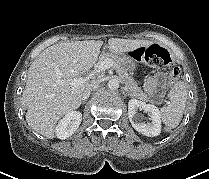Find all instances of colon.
Listing matches in <instances>:
<instances>
[{
  "mask_svg": "<svg viewBox=\"0 0 209 179\" xmlns=\"http://www.w3.org/2000/svg\"><path fill=\"white\" fill-rule=\"evenodd\" d=\"M135 60L152 67H163L170 64L171 59L168 51L159 45L138 47L130 52ZM180 75V69L173 67L169 73L168 85L174 84Z\"/></svg>",
  "mask_w": 209,
  "mask_h": 179,
  "instance_id": "obj_1",
  "label": "colon"
}]
</instances>
